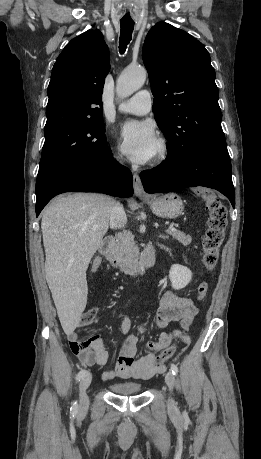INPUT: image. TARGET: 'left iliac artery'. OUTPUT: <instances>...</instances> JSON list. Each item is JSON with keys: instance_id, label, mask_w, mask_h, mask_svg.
I'll return each instance as SVG.
<instances>
[{"instance_id": "1", "label": "left iliac artery", "mask_w": 261, "mask_h": 459, "mask_svg": "<svg viewBox=\"0 0 261 459\" xmlns=\"http://www.w3.org/2000/svg\"><path fill=\"white\" fill-rule=\"evenodd\" d=\"M171 371H172L173 375H177L178 374V367L175 364H171Z\"/></svg>"}]
</instances>
